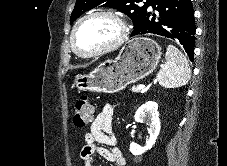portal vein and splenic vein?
<instances>
[{"mask_svg": "<svg viewBox=\"0 0 227 166\" xmlns=\"http://www.w3.org/2000/svg\"><path fill=\"white\" fill-rule=\"evenodd\" d=\"M145 88V85H139L136 90L137 91H140V90H143Z\"/></svg>", "mask_w": 227, "mask_h": 166, "instance_id": "1", "label": "portal vein and splenic vein"}]
</instances>
